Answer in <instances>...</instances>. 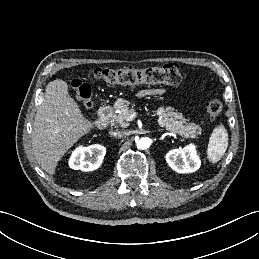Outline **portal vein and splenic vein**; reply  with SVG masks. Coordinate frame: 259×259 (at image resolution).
I'll list each match as a JSON object with an SVG mask.
<instances>
[{
  "instance_id": "1",
  "label": "portal vein and splenic vein",
  "mask_w": 259,
  "mask_h": 259,
  "mask_svg": "<svg viewBox=\"0 0 259 259\" xmlns=\"http://www.w3.org/2000/svg\"><path fill=\"white\" fill-rule=\"evenodd\" d=\"M136 117V112L131 113L128 117H127V121H131L133 118Z\"/></svg>"
}]
</instances>
